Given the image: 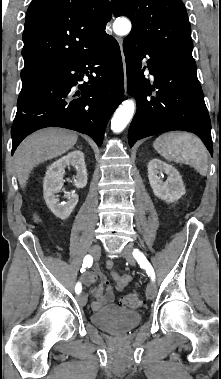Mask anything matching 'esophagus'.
<instances>
[{
  "mask_svg": "<svg viewBox=\"0 0 221 379\" xmlns=\"http://www.w3.org/2000/svg\"><path fill=\"white\" fill-rule=\"evenodd\" d=\"M117 41L121 47V50H122V38L121 37H117ZM123 65H124V86H125V91H126V87H127V79H126V67H125V61H124V57H123Z\"/></svg>",
  "mask_w": 221,
  "mask_h": 379,
  "instance_id": "obj_1",
  "label": "esophagus"
}]
</instances>
